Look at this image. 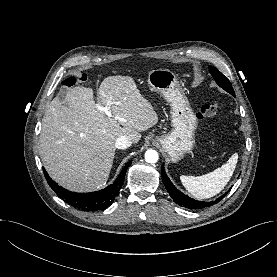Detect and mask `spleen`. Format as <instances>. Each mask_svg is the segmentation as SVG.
<instances>
[{
	"mask_svg": "<svg viewBox=\"0 0 277 277\" xmlns=\"http://www.w3.org/2000/svg\"><path fill=\"white\" fill-rule=\"evenodd\" d=\"M238 160V154H233L226 164L202 176H180L186 190L197 199H206L220 193L229 182Z\"/></svg>",
	"mask_w": 277,
	"mask_h": 277,
	"instance_id": "obj_1",
	"label": "spleen"
}]
</instances>
